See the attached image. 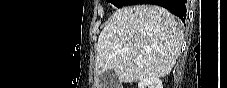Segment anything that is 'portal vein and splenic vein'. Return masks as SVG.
I'll list each match as a JSON object with an SVG mask.
<instances>
[{
    "label": "portal vein and splenic vein",
    "instance_id": "obj_1",
    "mask_svg": "<svg viewBox=\"0 0 227 88\" xmlns=\"http://www.w3.org/2000/svg\"><path fill=\"white\" fill-rule=\"evenodd\" d=\"M123 52L127 53L128 52V49H123Z\"/></svg>",
    "mask_w": 227,
    "mask_h": 88
}]
</instances>
